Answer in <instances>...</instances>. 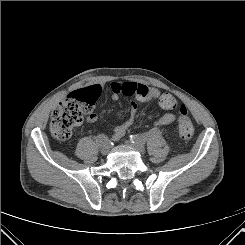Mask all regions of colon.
<instances>
[{
	"mask_svg": "<svg viewBox=\"0 0 245 245\" xmlns=\"http://www.w3.org/2000/svg\"><path fill=\"white\" fill-rule=\"evenodd\" d=\"M99 94L100 87L94 85L72 92L65 100L57 104L50 122L51 135L58 141L69 139L73 130L83 122L84 116L91 110ZM137 98L141 102H147L152 97L149 89L140 87L137 90ZM179 112V135L183 139H189L194 134L193 123L185 106H180Z\"/></svg>",
	"mask_w": 245,
	"mask_h": 245,
	"instance_id": "1",
	"label": "colon"
}]
</instances>
